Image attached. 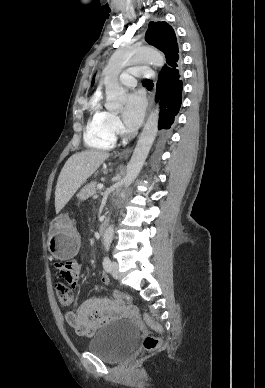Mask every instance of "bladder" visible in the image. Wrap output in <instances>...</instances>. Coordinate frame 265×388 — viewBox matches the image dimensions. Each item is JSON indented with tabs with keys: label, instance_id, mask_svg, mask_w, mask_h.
Returning <instances> with one entry per match:
<instances>
[{
	"label": "bladder",
	"instance_id": "bladder-1",
	"mask_svg": "<svg viewBox=\"0 0 265 388\" xmlns=\"http://www.w3.org/2000/svg\"><path fill=\"white\" fill-rule=\"evenodd\" d=\"M137 328L130 321H116L97 331L88 344V351L109 360H117L134 346Z\"/></svg>",
	"mask_w": 265,
	"mask_h": 388
}]
</instances>
